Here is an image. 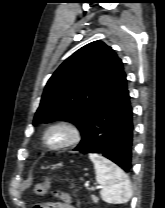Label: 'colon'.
Returning a JSON list of instances; mask_svg holds the SVG:
<instances>
[{"label": "colon", "mask_w": 165, "mask_h": 208, "mask_svg": "<svg viewBox=\"0 0 165 208\" xmlns=\"http://www.w3.org/2000/svg\"><path fill=\"white\" fill-rule=\"evenodd\" d=\"M50 179L47 178L44 182L37 184L34 187V193L39 196H43L46 194ZM35 208H42L41 205L36 206Z\"/></svg>", "instance_id": "colon-1"}]
</instances>
